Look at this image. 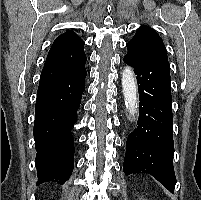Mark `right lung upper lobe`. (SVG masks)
Listing matches in <instances>:
<instances>
[{"label":"right lung upper lobe","mask_w":201,"mask_h":200,"mask_svg":"<svg viewBox=\"0 0 201 200\" xmlns=\"http://www.w3.org/2000/svg\"><path fill=\"white\" fill-rule=\"evenodd\" d=\"M84 41L73 31H67L56 38L47 55L40 83L67 77L86 63Z\"/></svg>","instance_id":"1"}]
</instances>
